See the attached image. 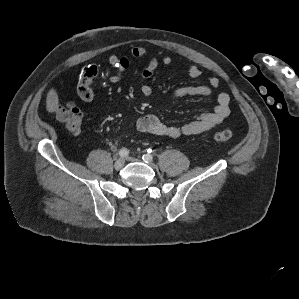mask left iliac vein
<instances>
[{"mask_svg": "<svg viewBox=\"0 0 299 299\" xmlns=\"http://www.w3.org/2000/svg\"><path fill=\"white\" fill-rule=\"evenodd\" d=\"M128 160H129V161H132V162L139 161V159L134 158V157H130V158H128ZM148 163H149L151 166H153V164L151 163V161L148 162Z\"/></svg>", "mask_w": 299, "mask_h": 299, "instance_id": "obj_1", "label": "left iliac vein"}]
</instances>
